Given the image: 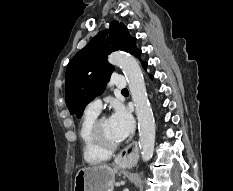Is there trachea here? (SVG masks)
<instances>
[{"label": "trachea", "mask_w": 233, "mask_h": 191, "mask_svg": "<svg viewBox=\"0 0 233 191\" xmlns=\"http://www.w3.org/2000/svg\"><path fill=\"white\" fill-rule=\"evenodd\" d=\"M122 92H128V90L125 88V89L122 90Z\"/></svg>", "instance_id": "trachea-1"}]
</instances>
